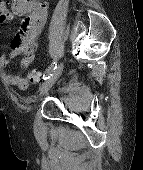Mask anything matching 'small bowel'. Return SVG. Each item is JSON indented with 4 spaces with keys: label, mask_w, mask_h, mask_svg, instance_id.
I'll return each mask as SVG.
<instances>
[{
    "label": "small bowel",
    "mask_w": 143,
    "mask_h": 170,
    "mask_svg": "<svg viewBox=\"0 0 143 170\" xmlns=\"http://www.w3.org/2000/svg\"><path fill=\"white\" fill-rule=\"evenodd\" d=\"M49 4L40 0H8L0 1V20L9 22L14 17H22V23L10 42L8 56L0 55V69L6 68L10 62L21 56V71L26 70L34 62L37 50L36 40L41 33L48 16ZM8 84L25 89L28 81L21 73H6Z\"/></svg>",
    "instance_id": "small-bowel-1"
}]
</instances>
